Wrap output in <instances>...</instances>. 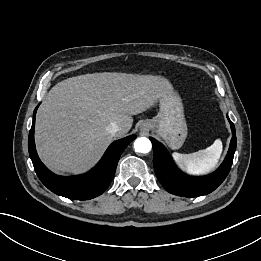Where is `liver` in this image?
Instances as JSON below:
<instances>
[{"instance_id": "obj_1", "label": "liver", "mask_w": 261, "mask_h": 261, "mask_svg": "<svg viewBox=\"0 0 261 261\" xmlns=\"http://www.w3.org/2000/svg\"><path fill=\"white\" fill-rule=\"evenodd\" d=\"M173 92L161 76L102 72L57 83L40 106L35 125L39 157L55 173L90 169L112 142L106 128L119 125L117 137L132 127V115L151 108Z\"/></svg>"}]
</instances>
